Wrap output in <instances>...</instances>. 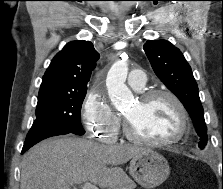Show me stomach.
<instances>
[{"mask_svg": "<svg viewBox=\"0 0 223 189\" xmlns=\"http://www.w3.org/2000/svg\"><path fill=\"white\" fill-rule=\"evenodd\" d=\"M129 173L138 184L152 189L167 179L170 168L162 155L146 150L132 158Z\"/></svg>", "mask_w": 223, "mask_h": 189, "instance_id": "stomach-1", "label": "stomach"}]
</instances>
